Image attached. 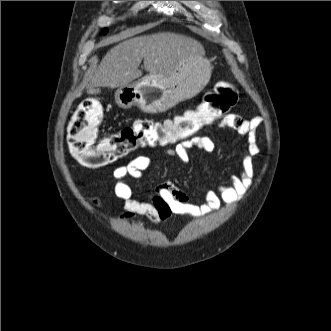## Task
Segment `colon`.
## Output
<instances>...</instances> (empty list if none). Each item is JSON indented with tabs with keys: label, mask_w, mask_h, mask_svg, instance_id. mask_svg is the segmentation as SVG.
I'll return each mask as SVG.
<instances>
[{
	"label": "colon",
	"mask_w": 331,
	"mask_h": 331,
	"mask_svg": "<svg viewBox=\"0 0 331 331\" xmlns=\"http://www.w3.org/2000/svg\"><path fill=\"white\" fill-rule=\"evenodd\" d=\"M238 100V90L222 82L207 93L202 103L182 115L165 119H140L118 132L97 140L103 109L96 99H86L75 111L68 129L71 155L80 164L102 167L138 147L166 146L183 141L201 128L223 118Z\"/></svg>",
	"instance_id": "colon-1"
}]
</instances>
